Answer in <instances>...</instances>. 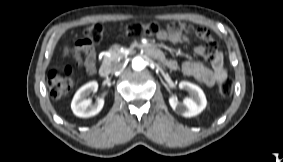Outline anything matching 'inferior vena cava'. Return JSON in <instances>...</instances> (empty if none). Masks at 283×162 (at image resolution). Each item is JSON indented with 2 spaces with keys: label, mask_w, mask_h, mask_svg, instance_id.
Segmentation results:
<instances>
[{
  "label": "inferior vena cava",
  "mask_w": 283,
  "mask_h": 162,
  "mask_svg": "<svg viewBox=\"0 0 283 162\" xmlns=\"http://www.w3.org/2000/svg\"><path fill=\"white\" fill-rule=\"evenodd\" d=\"M122 68V64H117L112 68V73L119 71Z\"/></svg>",
  "instance_id": "1"
}]
</instances>
